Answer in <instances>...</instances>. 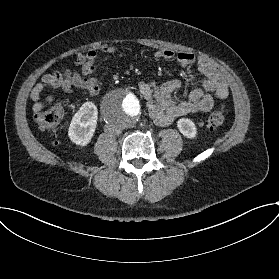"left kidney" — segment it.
Wrapping results in <instances>:
<instances>
[{
	"mask_svg": "<svg viewBox=\"0 0 279 279\" xmlns=\"http://www.w3.org/2000/svg\"><path fill=\"white\" fill-rule=\"evenodd\" d=\"M176 127L186 139L196 140L198 138V129L193 120L189 118H180L176 122Z\"/></svg>",
	"mask_w": 279,
	"mask_h": 279,
	"instance_id": "left-kidney-1",
	"label": "left kidney"
}]
</instances>
